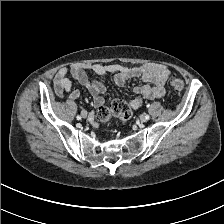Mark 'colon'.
I'll list each match as a JSON object with an SVG mask.
<instances>
[{
    "label": "colon",
    "mask_w": 224,
    "mask_h": 224,
    "mask_svg": "<svg viewBox=\"0 0 224 224\" xmlns=\"http://www.w3.org/2000/svg\"><path fill=\"white\" fill-rule=\"evenodd\" d=\"M169 84L175 93H181L184 88L183 81L175 74L171 75ZM112 117H117L123 121L131 117V110L128 104L121 100L116 99L111 102L109 106L101 105L97 110V118L103 123H107Z\"/></svg>",
    "instance_id": "5ec220e1"
}]
</instances>
